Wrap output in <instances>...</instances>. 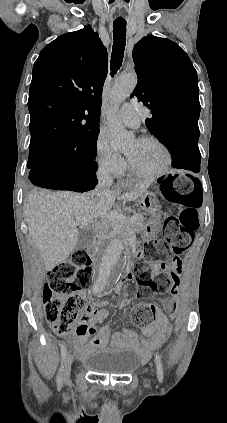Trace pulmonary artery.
<instances>
[{
    "mask_svg": "<svg viewBox=\"0 0 227 423\" xmlns=\"http://www.w3.org/2000/svg\"><path fill=\"white\" fill-rule=\"evenodd\" d=\"M144 111H137L134 103H125L118 112L119 120L128 127H139L141 120L146 118Z\"/></svg>",
    "mask_w": 227,
    "mask_h": 423,
    "instance_id": "obj_1",
    "label": "pulmonary artery"
}]
</instances>
